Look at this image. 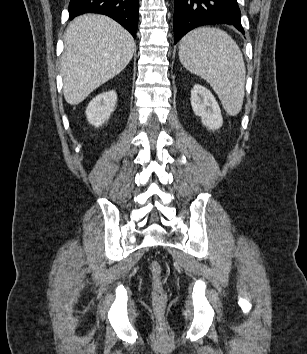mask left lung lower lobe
<instances>
[{
  "instance_id": "1",
  "label": "left lung lower lobe",
  "mask_w": 307,
  "mask_h": 354,
  "mask_svg": "<svg viewBox=\"0 0 307 354\" xmlns=\"http://www.w3.org/2000/svg\"><path fill=\"white\" fill-rule=\"evenodd\" d=\"M212 24H227L244 34L237 0H175V43L190 30Z\"/></svg>"
}]
</instances>
